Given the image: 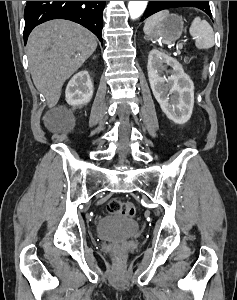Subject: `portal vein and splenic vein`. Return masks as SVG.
<instances>
[{"instance_id": "portal-vein-and-splenic-vein-1", "label": "portal vein and splenic vein", "mask_w": 237, "mask_h": 300, "mask_svg": "<svg viewBox=\"0 0 237 300\" xmlns=\"http://www.w3.org/2000/svg\"><path fill=\"white\" fill-rule=\"evenodd\" d=\"M185 43H186V41H185ZM178 44L180 45V48H183V45H182L183 43L181 41Z\"/></svg>"}]
</instances>
